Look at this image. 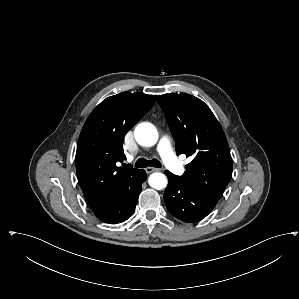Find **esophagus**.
<instances>
[{
	"instance_id": "34e87169",
	"label": "esophagus",
	"mask_w": 299,
	"mask_h": 299,
	"mask_svg": "<svg viewBox=\"0 0 299 299\" xmlns=\"http://www.w3.org/2000/svg\"><path fill=\"white\" fill-rule=\"evenodd\" d=\"M145 171H146L147 174H150V173L155 172V171H161V169L153 168V167H147L145 169Z\"/></svg>"
}]
</instances>
